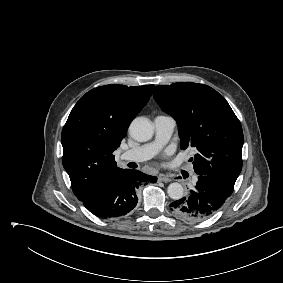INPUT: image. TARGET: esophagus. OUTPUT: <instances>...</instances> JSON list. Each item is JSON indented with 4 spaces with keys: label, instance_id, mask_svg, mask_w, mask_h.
Listing matches in <instances>:
<instances>
[{
    "label": "esophagus",
    "instance_id": "1",
    "mask_svg": "<svg viewBox=\"0 0 283 283\" xmlns=\"http://www.w3.org/2000/svg\"><path fill=\"white\" fill-rule=\"evenodd\" d=\"M158 181L167 183V182H170V181H171V178H169V177H167V176H165V175H160V176L158 177Z\"/></svg>",
    "mask_w": 283,
    "mask_h": 283
}]
</instances>
